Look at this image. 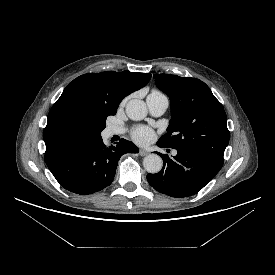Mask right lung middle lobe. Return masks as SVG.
<instances>
[{
    "mask_svg": "<svg viewBox=\"0 0 275 275\" xmlns=\"http://www.w3.org/2000/svg\"><path fill=\"white\" fill-rule=\"evenodd\" d=\"M117 107L85 106L71 111L65 120L71 138L99 136L106 127V118L115 115Z\"/></svg>",
    "mask_w": 275,
    "mask_h": 275,
    "instance_id": "obj_1",
    "label": "right lung middle lobe"
}]
</instances>
